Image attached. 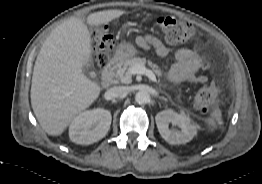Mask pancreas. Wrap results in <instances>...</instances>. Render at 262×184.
<instances>
[{
	"label": "pancreas",
	"instance_id": "pancreas-1",
	"mask_svg": "<svg viewBox=\"0 0 262 184\" xmlns=\"http://www.w3.org/2000/svg\"><path fill=\"white\" fill-rule=\"evenodd\" d=\"M146 64H148L152 68L153 72L157 76L159 77L161 76L162 72L157 64L151 62L150 60H146L145 58H140V57L127 59L122 67L114 69L113 75L118 81L125 84H129L132 82V74L130 72L131 68L136 65L145 66Z\"/></svg>",
	"mask_w": 262,
	"mask_h": 184
}]
</instances>
